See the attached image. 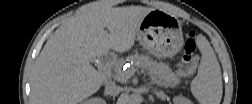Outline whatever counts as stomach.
I'll return each instance as SVG.
<instances>
[{"label": "stomach", "instance_id": "stomach-1", "mask_svg": "<svg viewBox=\"0 0 252 104\" xmlns=\"http://www.w3.org/2000/svg\"><path fill=\"white\" fill-rule=\"evenodd\" d=\"M137 40L151 54L171 58L183 45L182 23L174 15L154 9L139 25Z\"/></svg>", "mask_w": 252, "mask_h": 104}]
</instances>
